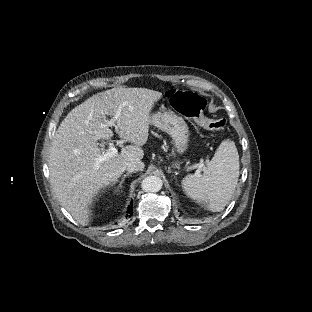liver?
Returning <instances> with one entry per match:
<instances>
[{"mask_svg":"<svg viewBox=\"0 0 312 312\" xmlns=\"http://www.w3.org/2000/svg\"><path fill=\"white\" fill-rule=\"evenodd\" d=\"M161 97V92L146 88H112L88 98L61 122L49 151L50 183L58 201L81 225L89 223L88 207L99 191L116 183L128 162L143 158L150 111ZM106 115L115 119L119 137L134 145L122 148L94 170L95 158L101 155L97 141L113 136Z\"/></svg>","mask_w":312,"mask_h":312,"instance_id":"6515ba94","label":"liver"}]
</instances>
